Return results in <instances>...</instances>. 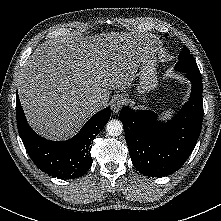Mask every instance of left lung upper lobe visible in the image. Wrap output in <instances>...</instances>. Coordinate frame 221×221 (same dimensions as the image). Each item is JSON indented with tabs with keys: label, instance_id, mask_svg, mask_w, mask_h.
<instances>
[{
	"label": "left lung upper lobe",
	"instance_id": "5c2ea615",
	"mask_svg": "<svg viewBox=\"0 0 221 221\" xmlns=\"http://www.w3.org/2000/svg\"><path fill=\"white\" fill-rule=\"evenodd\" d=\"M175 70L186 73L200 74L196 61L186 46L183 47L179 54V61L175 66Z\"/></svg>",
	"mask_w": 221,
	"mask_h": 221
}]
</instances>
